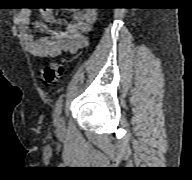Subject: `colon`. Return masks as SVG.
Segmentation results:
<instances>
[{
    "label": "colon",
    "instance_id": "obj_1",
    "mask_svg": "<svg viewBox=\"0 0 192 180\" xmlns=\"http://www.w3.org/2000/svg\"><path fill=\"white\" fill-rule=\"evenodd\" d=\"M64 72L63 65L60 62H49L42 69V75L46 84L57 83Z\"/></svg>",
    "mask_w": 192,
    "mask_h": 180
}]
</instances>
